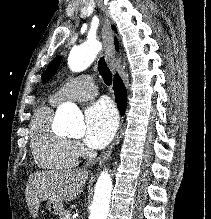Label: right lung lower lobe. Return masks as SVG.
Returning a JSON list of instances; mask_svg holds the SVG:
<instances>
[{"mask_svg":"<svg viewBox=\"0 0 211 219\" xmlns=\"http://www.w3.org/2000/svg\"><path fill=\"white\" fill-rule=\"evenodd\" d=\"M113 89H114L118 108L121 114H124L127 106V94H126V88L121 78L118 75H115L114 77Z\"/></svg>","mask_w":211,"mask_h":219,"instance_id":"1","label":"right lung lower lobe"}]
</instances>
